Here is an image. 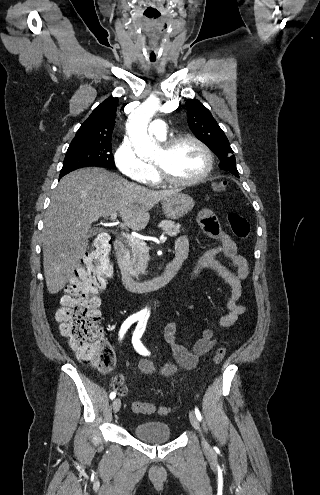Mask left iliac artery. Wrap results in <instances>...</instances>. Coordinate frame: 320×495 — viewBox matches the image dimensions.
<instances>
[{"label":"left iliac artery","instance_id":"44dca946","mask_svg":"<svg viewBox=\"0 0 320 495\" xmlns=\"http://www.w3.org/2000/svg\"><path fill=\"white\" fill-rule=\"evenodd\" d=\"M145 327H146V321H144V320L140 321L139 324L137 325L134 333H133L132 343H133L135 350L139 354L146 356V355H149L150 352L145 348V346L140 341V338L142 337V335L145 331ZM195 414H196V417L198 418V420L200 421L202 419V416H201V413L197 407H195Z\"/></svg>","mask_w":320,"mask_h":495}]
</instances>
